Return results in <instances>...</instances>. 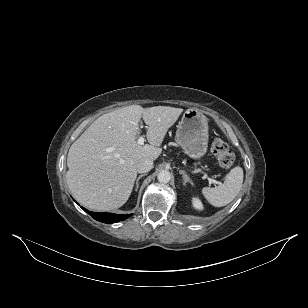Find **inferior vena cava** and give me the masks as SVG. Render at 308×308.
Instances as JSON below:
<instances>
[{"instance_id": "inferior-vena-cava-1", "label": "inferior vena cava", "mask_w": 308, "mask_h": 308, "mask_svg": "<svg viewBox=\"0 0 308 308\" xmlns=\"http://www.w3.org/2000/svg\"><path fill=\"white\" fill-rule=\"evenodd\" d=\"M153 168V160L149 158H143L137 164V171L139 173L149 172Z\"/></svg>"}]
</instances>
